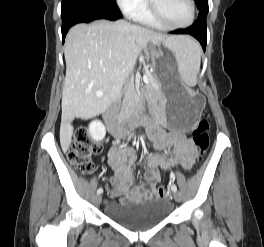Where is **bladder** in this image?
<instances>
[{
  "label": "bladder",
  "mask_w": 264,
  "mask_h": 247,
  "mask_svg": "<svg viewBox=\"0 0 264 247\" xmlns=\"http://www.w3.org/2000/svg\"><path fill=\"white\" fill-rule=\"evenodd\" d=\"M106 216L113 222L132 230H146L164 221L172 210L163 198L145 201H124L106 206Z\"/></svg>",
  "instance_id": "1"
}]
</instances>
